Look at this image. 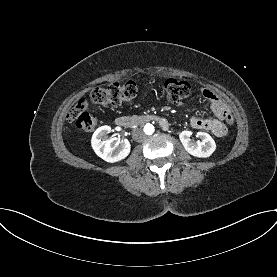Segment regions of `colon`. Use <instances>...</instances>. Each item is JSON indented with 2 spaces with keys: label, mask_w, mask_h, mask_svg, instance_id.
Here are the masks:
<instances>
[{
  "label": "colon",
  "mask_w": 277,
  "mask_h": 277,
  "mask_svg": "<svg viewBox=\"0 0 277 277\" xmlns=\"http://www.w3.org/2000/svg\"><path fill=\"white\" fill-rule=\"evenodd\" d=\"M167 96L174 102H180L190 93V84L179 79H168L165 82ZM138 94V86L132 81L112 83L97 87L90 92V101L101 106H115L133 100ZM68 119L75 122L78 128L86 131L94 129L98 124L97 115L91 111V104L86 99L79 100L68 114ZM227 127L235 124V117L227 113L224 119Z\"/></svg>",
  "instance_id": "1"
}]
</instances>
